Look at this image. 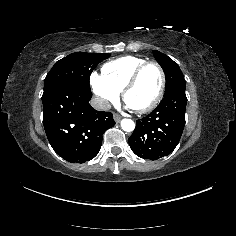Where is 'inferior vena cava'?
<instances>
[{
  "label": "inferior vena cava",
  "instance_id": "obj_1",
  "mask_svg": "<svg viewBox=\"0 0 236 236\" xmlns=\"http://www.w3.org/2000/svg\"><path fill=\"white\" fill-rule=\"evenodd\" d=\"M90 104L94 109L99 111H108L111 108L109 101L99 96H93Z\"/></svg>",
  "mask_w": 236,
  "mask_h": 236
}]
</instances>
